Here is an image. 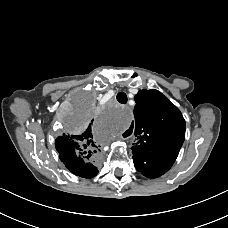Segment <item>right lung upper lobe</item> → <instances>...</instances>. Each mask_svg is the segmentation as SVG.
Masks as SVG:
<instances>
[{"mask_svg":"<svg viewBox=\"0 0 228 228\" xmlns=\"http://www.w3.org/2000/svg\"><path fill=\"white\" fill-rule=\"evenodd\" d=\"M55 146L61 161L69 170L73 168L77 176L91 178L97 174L92 162L100 151V145L93 137L91 124L81 134L59 136Z\"/></svg>","mask_w":228,"mask_h":228,"instance_id":"cb5924a9","label":"right lung upper lobe"}]
</instances>
